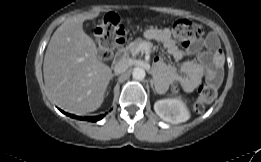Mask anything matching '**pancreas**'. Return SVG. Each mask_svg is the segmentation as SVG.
I'll use <instances>...</instances> for the list:
<instances>
[{
  "label": "pancreas",
  "mask_w": 261,
  "mask_h": 162,
  "mask_svg": "<svg viewBox=\"0 0 261 162\" xmlns=\"http://www.w3.org/2000/svg\"><path fill=\"white\" fill-rule=\"evenodd\" d=\"M144 44H151V43L146 40H143L142 38L135 39L133 42H130L124 48L125 55L126 56H128L129 54H131L132 56L137 55L141 51L140 46Z\"/></svg>",
  "instance_id": "pancreas-1"
}]
</instances>
